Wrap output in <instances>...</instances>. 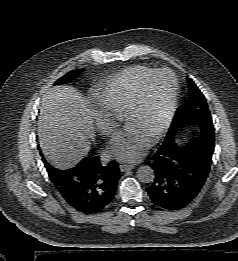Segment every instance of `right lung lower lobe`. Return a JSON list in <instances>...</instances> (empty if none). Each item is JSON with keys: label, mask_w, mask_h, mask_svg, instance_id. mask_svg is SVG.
Wrapping results in <instances>:
<instances>
[{"label": "right lung lower lobe", "mask_w": 238, "mask_h": 261, "mask_svg": "<svg viewBox=\"0 0 238 261\" xmlns=\"http://www.w3.org/2000/svg\"><path fill=\"white\" fill-rule=\"evenodd\" d=\"M43 162L57 190L76 210L93 214L111 204L120 178L117 162L104 165L93 152L67 170L55 169L45 159Z\"/></svg>", "instance_id": "1"}]
</instances>
